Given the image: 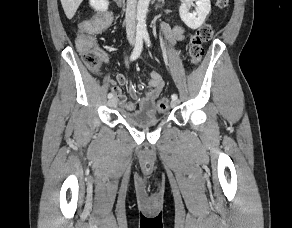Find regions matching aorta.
<instances>
[{"label": "aorta", "instance_id": "obj_1", "mask_svg": "<svg viewBox=\"0 0 292 228\" xmlns=\"http://www.w3.org/2000/svg\"><path fill=\"white\" fill-rule=\"evenodd\" d=\"M150 0H138L137 4V31L144 33L146 28V15L148 12Z\"/></svg>", "mask_w": 292, "mask_h": 228}]
</instances>
